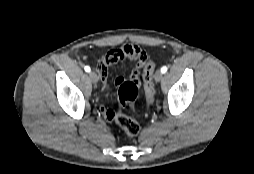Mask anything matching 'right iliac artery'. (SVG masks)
<instances>
[{
	"instance_id": "1",
	"label": "right iliac artery",
	"mask_w": 254,
	"mask_h": 174,
	"mask_svg": "<svg viewBox=\"0 0 254 174\" xmlns=\"http://www.w3.org/2000/svg\"><path fill=\"white\" fill-rule=\"evenodd\" d=\"M84 69H85L86 72H90V70H91L89 66H85Z\"/></svg>"
}]
</instances>
